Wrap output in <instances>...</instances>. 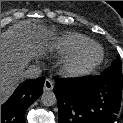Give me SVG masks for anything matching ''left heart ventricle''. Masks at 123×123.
Segmentation results:
<instances>
[{"label": "left heart ventricle", "mask_w": 123, "mask_h": 123, "mask_svg": "<svg viewBox=\"0 0 123 123\" xmlns=\"http://www.w3.org/2000/svg\"><path fill=\"white\" fill-rule=\"evenodd\" d=\"M95 53H96L95 49L91 50V52H90L91 55H94Z\"/></svg>", "instance_id": "obj_1"}]
</instances>
